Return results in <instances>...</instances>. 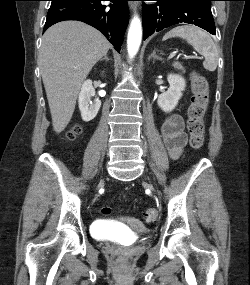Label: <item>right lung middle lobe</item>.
<instances>
[{"mask_svg":"<svg viewBox=\"0 0 250 285\" xmlns=\"http://www.w3.org/2000/svg\"><path fill=\"white\" fill-rule=\"evenodd\" d=\"M51 1H52L51 4H56V3H60V2L66 1V0H51Z\"/></svg>","mask_w":250,"mask_h":285,"instance_id":"dd1d6c3e","label":"right lung middle lobe"}]
</instances>
